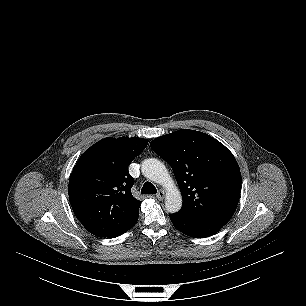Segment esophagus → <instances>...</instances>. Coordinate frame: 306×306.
I'll return each instance as SVG.
<instances>
[{
    "label": "esophagus",
    "instance_id": "34e87169",
    "mask_svg": "<svg viewBox=\"0 0 306 306\" xmlns=\"http://www.w3.org/2000/svg\"><path fill=\"white\" fill-rule=\"evenodd\" d=\"M165 197V192L163 190H159L158 193L156 194V198L158 200H163Z\"/></svg>",
    "mask_w": 306,
    "mask_h": 306
}]
</instances>
